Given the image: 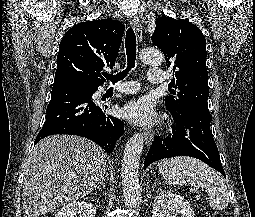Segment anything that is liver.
<instances>
[{
	"mask_svg": "<svg viewBox=\"0 0 255 217\" xmlns=\"http://www.w3.org/2000/svg\"><path fill=\"white\" fill-rule=\"evenodd\" d=\"M105 173L106 153L94 142L72 135L42 139L24 173V217H38L88 195Z\"/></svg>",
	"mask_w": 255,
	"mask_h": 217,
	"instance_id": "1",
	"label": "liver"
}]
</instances>
